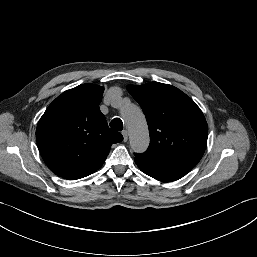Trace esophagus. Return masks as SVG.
<instances>
[{
	"instance_id": "esophagus-1",
	"label": "esophagus",
	"mask_w": 257,
	"mask_h": 257,
	"mask_svg": "<svg viewBox=\"0 0 257 257\" xmlns=\"http://www.w3.org/2000/svg\"><path fill=\"white\" fill-rule=\"evenodd\" d=\"M122 135H123V141H124V142H127V140H128V133H127V131H126V130H123V131H122Z\"/></svg>"
}]
</instances>
